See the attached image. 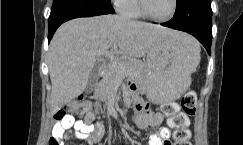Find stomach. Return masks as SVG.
Instances as JSON below:
<instances>
[{
	"label": "stomach",
	"instance_id": "1",
	"mask_svg": "<svg viewBox=\"0 0 243 145\" xmlns=\"http://www.w3.org/2000/svg\"><path fill=\"white\" fill-rule=\"evenodd\" d=\"M198 55L200 47L191 37L188 40L158 38L146 59L144 79L149 99L161 104L180 98L190 87Z\"/></svg>",
	"mask_w": 243,
	"mask_h": 145
}]
</instances>
